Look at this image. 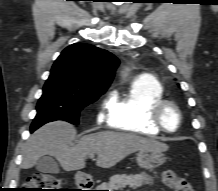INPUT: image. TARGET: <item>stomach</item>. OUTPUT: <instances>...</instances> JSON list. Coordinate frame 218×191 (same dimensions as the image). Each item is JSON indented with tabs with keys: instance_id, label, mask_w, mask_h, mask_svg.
I'll return each mask as SVG.
<instances>
[{
	"instance_id": "0dacf381",
	"label": "stomach",
	"mask_w": 218,
	"mask_h": 191,
	"mask_svg": "<svg viewBox=\"0 0 218 191\" xmlns=\"http://www.w3.org/2000/svg\"><path fill=\"white\" fill-rule=\"evenodd\" d=\"M166 162V158L162 152L156 150H141L137 154V164L146 170H153ZM77 181L83 179V174L77 173L75 176Z\"/></svg>"
}]
</instances>
